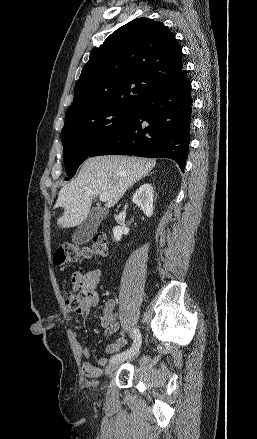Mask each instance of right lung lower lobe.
Instances as JSON below:
<instances>
[{"label": "right lung lower lobe", "mask_w": 257, "mask_h": 439, "mask_svg": "<svg viewBox=\"0 0 257 439\" xmlns=\"http://www.w3.org/2000/svg\"><path fill=\"white\" fill-rule=\"evenodd\" d=\"M191 83L182 70L147 95L132 117L91 153L166 157L184 171L190 143Z\"/></svg>", "instance_id": "right-lung-lower-lobe-1"}]
</instances>
